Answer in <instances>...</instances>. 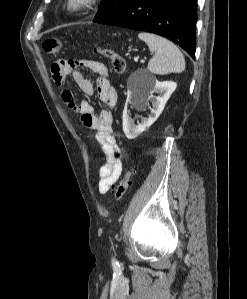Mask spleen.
Returning a JSON list of instances; mask_svg holds the SVG:
<instances>
[{"label": "spleen", "mask_w": 247, "mask_h": 299, "mask_svg": "<svg viewBox=\"0 0 247 299\" xmlns=\"http://www.w3.org/2000/svg\"><path fill=\"white\" fill-rule=\"evenodd\" d=\"M138 37L144 41L148 45L149 50L154 53L153 58L148 63V70L151 73L164 75L184 71V56L171 41L146 32L139 33Z\"/></svg>", "instance_id": "3e777b00"}]
</instances>
